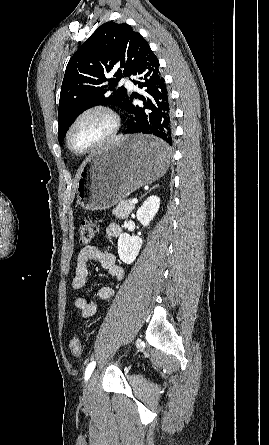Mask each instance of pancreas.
I'll list each match as a JSON object with an SVG mask.
<instances>
[{
    "mask_svg": "<svg viewBox=\"0 0 269 445\" xmlns=\"http://www.w3.org/2000/svg\"><path fill=\"white\" fill-rule=\"evenodd\" d=\"M134 209V204L131 202V200H124L121 201L116 208L113 209V214L119 218H127L129 214Z\"/></svg>",
    "mask_w": 269,
    "mask_h": 445,
    "instance_id": "cf45deb5",
    "label": "pancreas"
}]
</instances>
